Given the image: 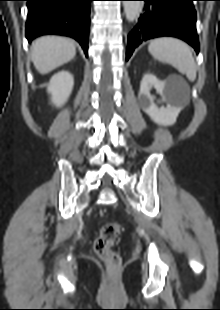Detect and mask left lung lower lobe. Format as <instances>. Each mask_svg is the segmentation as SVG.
<instances>
[{
	"instance_id": "1",
	"label": "left lung lower lobe",
	"mask_w": 220,
	"mask_h": 310,
	"mask_svg": "<svg viewBox=\"0 0 220 310\" xmlns=\"http://www.w3.org/2000/svg\"><path fill=\"white\" fill-rule=\"evenodd\" d=\"M143 13L128 37L126 60L143 41L172 36L180 38L199 52L194 0H141Z\"/></svg>"
}]
</instances>
